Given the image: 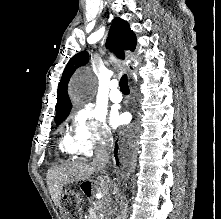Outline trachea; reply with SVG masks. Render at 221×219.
<instances>
[{
    "label": "trachea",
    "instance_id": "obj_1",
    "mask_svg": "<svg viewBox=\"0 0 221 219\" xmlns=\"http://www.w3.org/2000/svg\"><path fill=\"white\" fill-rule=\"evenodd\" d=\"M119 86L122 92H128L129 91V86H128V78L126 74H123L120 82H119Z\"/></svg>",
    "mask_w": 221,
    "mask_h": 219
}]
</instances>
